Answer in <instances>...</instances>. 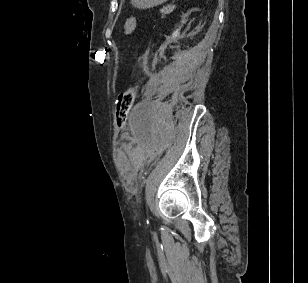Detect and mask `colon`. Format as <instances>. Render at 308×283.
Segmentation results:
<instances>
[{
  "mask_svg": "<svg viewBox=\"0 0 308 283\" xmlns=\"http://www.w3.org/2000/svg\"><path fill=\"white\" fill-rule=\"evenodd\" d=\"M136 25L137 19L135 17L128 18L124 25V33L126 35L133 33ZM136 96V87H131L118 95L115 107V120L119 127H123L125 125L128 114L136 100Z\"/></svg>",
  "mask_w": 308,
  "mask_h": 283,
  "instance_id": "obj_1",
  "label": "colon"
}]
</instances>
